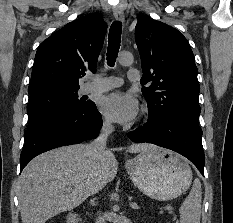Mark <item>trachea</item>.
<instances>
[{
  "label": "trachea",
  "mask_w": 233,
  "mask_h": 223,
  "mask_svg": "<svg viewBox=\"0 0 233 223\" xmlns=\"http://www.w3.org/2000/svg\"><path fill=\"white\" fill-rule=\"evenodd\" d=\"M122 24L119 21L112 23L109 36H108V47H107V64L113 67L119 52L121 42Z\"/></svg>",
  "instance_id": "trachea-1"
}]
</instances>
